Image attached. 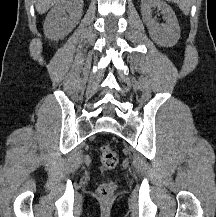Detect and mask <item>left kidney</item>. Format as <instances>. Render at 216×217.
<instances>
[{
    "label": "left kidney",
    "instance_id": "5707ae66",
    "mask_svg": "<svg viewBox=\"0 0 216 217\" xmlns=\"http://www.w3.org/2000/svg\"><path fill=\"white\" fill-rule=\"evenodd\" d=\"M161 10L166 24L159 25L152 18V9ZM141 15L149 35L158 45L174 46L180 38V27L173 9L161 0H141Z\"/></svg>",
    "mask_w": 216,
    "mask_h": 217
}]
</instances>
